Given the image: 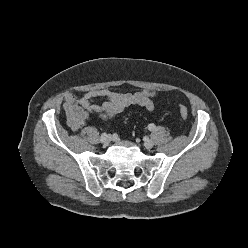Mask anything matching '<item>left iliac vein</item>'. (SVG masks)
Returning <instances> with one entry per match:
<instances>
[{"instance_id": "left-iliac-vein-1", "label": "left iliac vein", "mask_w": 248, "mask_h": 248, "mask_svg": "<svg viewBox=\"0 0 248 248\" xmlns=\"http://www.w3.org/2000/svg\"><path fill=\"white\" fill-rule=\"evenodd\" d=\"M144 146L147 149H151L154 146V142L149 138H144Z\"/></svg>"}]
</instances>
